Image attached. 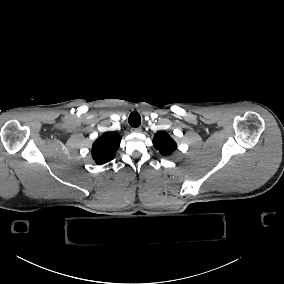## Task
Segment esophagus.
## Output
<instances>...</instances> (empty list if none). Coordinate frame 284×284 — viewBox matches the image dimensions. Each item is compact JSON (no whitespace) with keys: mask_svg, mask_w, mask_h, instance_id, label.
<instances>
[{"mask_svg":"<svg viewBox=\"0 0 284 284\" xmlns=\"http://www.w3.org/2000/svg\"><path fill=\"white\" fill-rule=\"evenodd\" d=\"M141 127H134V128H131L130 129V131L132 132V133H139V132H141Z\"/></svg>","mask_w":284,"mask_h":284,"instance_id":"34e87169","label":"esophagus"}]
</instances>
